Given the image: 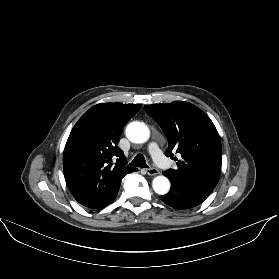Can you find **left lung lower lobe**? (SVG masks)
Masks as SVG:
<instances>
[{
    "instance_id": "0a47b994",
    "label": "left lung lower lobe",
    "mask_w": 279,
    "mask_h": 279,
    "mask_svg": "<svg viewBox=\"0 0 279 279\" xmlns=\"http://www.w3.org/2000/svg\"><path fill=\"white\" fill-rule=\"evenodd\" d=\"M208 195L191 188L171 182L170 191L160 199L175 209H189L201 204Z\"/></svg>"
}]
</instances>
